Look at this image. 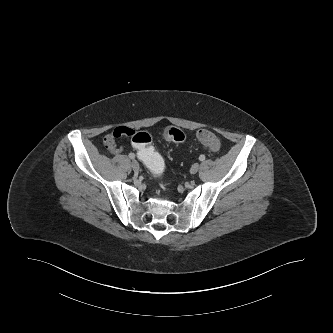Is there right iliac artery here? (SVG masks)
<instances>
[{
	"label": "right iliac artery",
	"instance_id": "right-iliac-artery-1",
	"mask_svg": "<svg viewBox=\"0 0 333 333\" xmlns=\"http://www.w3.org/2000/svg\"><path fill=\"white\" fill-rule=\"evenodd\" d=\"M129 158L130 159H134L135 158V154L134 153H129Z\"/></svg>",
	"mask_w": 333,
	"mask_h": 333
}]
</instances>
